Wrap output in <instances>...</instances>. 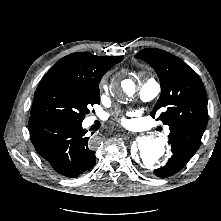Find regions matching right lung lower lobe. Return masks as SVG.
Listing matches in <instances>:
<instances>
[{
    "mask_svg": "<svg viewBox=\"0 0 221 221\" xmlns=\"http://www.w3.org/2000/svg\"><path fill=\"white\" fill-rule=\"evenodd\" d=\"M29 130L36 151L58 174L76 177L94 167V145L82 121L31 116Z\"/></svg>",
    "mask_w": 221,
    "mask_h": 221,
    "instance_id": "1",
    "label": "right lung lower lobe"
}]
</instances>
